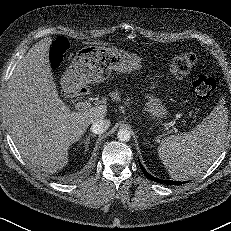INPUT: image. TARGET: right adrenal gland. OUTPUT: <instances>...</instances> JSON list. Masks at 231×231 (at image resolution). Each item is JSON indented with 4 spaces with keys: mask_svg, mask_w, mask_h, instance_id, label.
I'll return each mask as SVG.
<instances>
[{
    "mask_svg": "<svg viewBox=\"0 0 231 231\" xmlns=\"http://www.w3.org/2000/svg\"><path fill=\"white\" fill-rule=\"evenodd\" d=\"M92 136H95L94 134H90L89 136H87L84 140L83 143L85 144V151H87L89 149V144H90V138Z\"/></svg>",
    "mask_w": 231,
    "mask_h": 231,
    "instance_id": "obj_1",
    "label": "right adrenal gland"
}]
</instances>
